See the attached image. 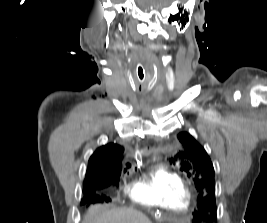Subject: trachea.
I'll return each mask as SVG.
<instances>
[{
  "instance_id": "obj_1",
  "label": "trachea",
  "mask_w": 267,
  "mask_h": 223,
  "mask_svg": "<svg viewBox=\"0 0 267 223\" xmlns=\"http://www.w3.org/2000/svg\"><path fill=\"white\" fill-rule=\"evenodd\" d=\"M138 77H139V80L140 81H143L144 80V72H143L142 67H139L138 68Z\"/></svg>"
}]
</instances>
